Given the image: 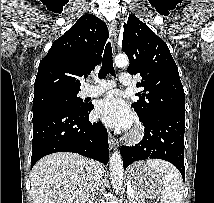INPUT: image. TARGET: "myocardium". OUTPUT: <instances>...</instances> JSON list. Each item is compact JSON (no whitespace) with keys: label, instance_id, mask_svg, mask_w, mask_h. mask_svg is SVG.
<instances>
[{"label":"myocardium","instance_id":"1","mask_svg":"<svg viewBox=\"0 0 214 203\" xmlns=\"http://www.w3.org/2000/svg\"><path fill=\"white\" fill-rule=\"evenodd\" d=\"M143 138V131L141 128H136L128 136L127 139L130 142H138Z\"/></svg>","mask_w":214,"mask_h":203}]
</instances>
